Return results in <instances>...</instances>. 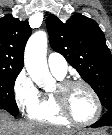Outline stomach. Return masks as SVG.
<instances>
[{"label":"stomach","mask_w":112,"mask_h":135,"mask_svg":"<svg viewBox=\"0 0 112 135\" xmlns=\"http://www.w3.org/2000/svg\"><path fill=\"white\" fill-rule=\"evenodd\" d=\"M76 135H103L99 132H92V131H84V132H78Z\"/></svg>","instance_id":"stomach-1"}]
</instances>
